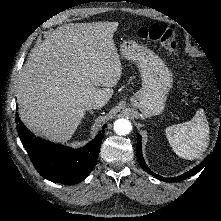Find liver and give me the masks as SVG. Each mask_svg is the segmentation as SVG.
Masks as SVG:
<instances>
[{"mask_svg": "<svg viewBox=\"0 0 221 221\" xmlns=\"http://www.w3.org/2000/svg\"><path fill=\"white\" fill-rule=\"evenodd\" d=\"M118 26V22L69 23L33 48L16 94L20 118L30 130L65 142L76 131L89 100L104 105L109 101L122 75L113 40Z\"/></svg>", "mask_w": 221, "mask_h": 221, "instance_id": "1", "label": "liver"}]
</instances>
